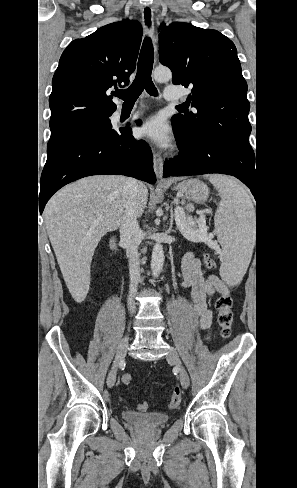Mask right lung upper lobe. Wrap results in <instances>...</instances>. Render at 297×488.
Returning <instances> with one entry per match:
<instances>
[{"label":"right lung upper lobe","instance_id":"right-lung-upper-lobe-1","mask_svg":"<svg viewBox=\"0 0 297 488\" xmlns=\"http://www.w3.org/2000/svg\"><path fill=\"white\" fill-rule=\"evenodd\" d=\"M141 38L140 23L124 20L68 45L52 80L51 133L112 115V90L129 83Z\"/></svg>","mask_w":297,"mask_h":488}]
</instances>
